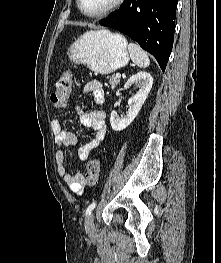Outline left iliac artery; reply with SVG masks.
<instances>
[{
    "mask_svg": "<svg viewBox=\"0 0 221 263\" xmlns=\"http://www.w3.org/2000/svg\"><path fill=\"white\" fill-rule=\"evenodd\" d=\"M95 207H96V203H95V202H93L92 204H90V205L88 206L87 210H86V216H87V215H90L91 212H92V210H93Z\"/></svg>",
    "mask_w": 221,
    "mask_h": 263,
    "instance_id": "1",
    "label": "left iliac artery"
}]
</instances>
